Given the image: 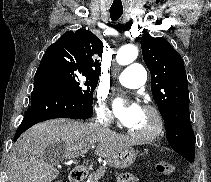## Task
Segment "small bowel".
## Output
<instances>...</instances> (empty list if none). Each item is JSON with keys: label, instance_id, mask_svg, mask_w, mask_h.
<instances>
[{"label": "small bowel", "instance_id": "small-bowel-1", "mask_svg": "<svg viewBox=\"0 0 211 182\" xmlns=\"http://www.w3.org/2000/svg\"><path fill=\"white\" fill-rule=\"evenodd\" d=\"M117 182H139V180L132 175L125 173L118 177Z\"/></svg>", "mask_w": 211, "mask_h": 182}]
</instances>
